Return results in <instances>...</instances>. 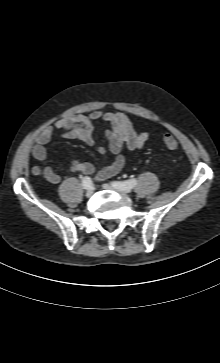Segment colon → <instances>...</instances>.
<instances>
[{
    "instance_id": "5ec220e1",
    "label": "colon",
    "mask_w": 220,
    "mask_h": 363,
    "mask_svg": "<svg viewBox=\"0 0 220 363\" xmlns=\"http://www.w3.org/2000/svg\"><path fill=\"white\" fill-rule=\"evenodd\" d=\"M163 141L165 146L170 150H174L178 146L176 139L171 134H165L163 137Z\"/></svg>"
}]
</instances>
